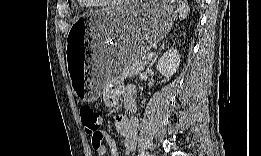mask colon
<instances>
[{
  "mask_svg": "<svg viewBox=\"0 0 261 156\" xmlns=\"http://www.w3.org/2000/svg\"><path fill=\"white\" fill-rule=\"evenodd\" d=\"M80 117L84 130L91 137L92 145L97 146L102 139L100 132L102 123L101 111L91 105H82L80 107Z\"/></svg>",
  "mask_w": 261,
  "mask_h": 156,
  "instance_id": "1",
  "label": "colon"
}]
</instances>
